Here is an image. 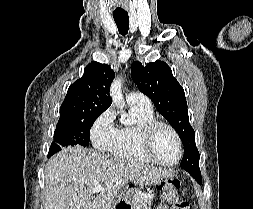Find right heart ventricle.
Wrapping results in <instances>:
<instances>
[{
    "mask_svg": "<svg viewBox=\"0 0 253 209\" xmlns=\"http://www.w3.org/2000/svg\"><path fill=\"white\" fill-rule=\"evenodd\" d=\"M130 112L135 118V123L126 125L118 131V139L112 149L113 154L121 159L146 163L149 160L143 155L139 144L140 127L155 119L152 105L129 103Z\"/></svg>",
    "mask_w": 253,
    "mask_h": 209,
    "instance_id": "right-heart-ventricle-1",
    "label": "right heart ventricle"
}]
</instances>
